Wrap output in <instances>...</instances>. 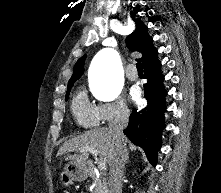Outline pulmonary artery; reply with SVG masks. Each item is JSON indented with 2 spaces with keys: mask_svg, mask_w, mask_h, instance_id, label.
Instances as JSON below:
<instances>
[{
  "mask_svg": "<svg viewBox=\"0 0 221 193\" xmlns=\"http://www.w3.org/2000/svg\"><path fill=\"white\" fill-rule=\"evenodd\" d=\"M126 77L131 80V81H134L138 78V74H137V71L136 70H131V69H128L126 71Z\"/></svg>",
  "mask_w": 221,
  "mask_h": 193,
  "instance_id": "e3ab8cb5",
  "label": "pulmonary artery"
}]
</instances>
